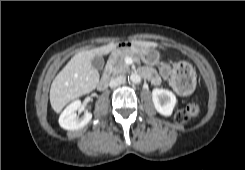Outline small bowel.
<instances>
[{
	"instance_id": "small-bowel-1",
	"label": "small bowel",
	"mask_w": 245,
	"mask_h": 170,
	"mask_svg": "<svg viewBox=\"0 0 245 170\" xmlns=\"http://www.w3.org/2000/svg\"><path fill=\"white\" fill-rule=\"evenodd\" d=\"M172 67L168 64L163 65L159 72H154L149 68H143L141 73L143 76L148 78L153 84L157 85L160 83L161 78L166 81H170L172 78Z\"/></svg>"
}]
</instances>
